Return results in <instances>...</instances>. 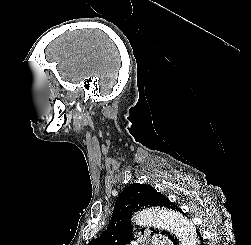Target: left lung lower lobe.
Listing matches in <instances>:
<instances>
[{"mask_svg":"<svg viewBox=\"0 0 251 245\" xmlns=\"http://www.w3.org/2000/svg\"><path fill=\"white\" fill-rule=\"evenodd\" d=\"M178 211L182 213V210H181V209H179ZM166 236L170 239V241H171L174 245H178V240H177V238H176L174 235H172L170 232H168V233L166 234ZM197 243H198L199 245H204V243H203V237L201 236V234L199 233L198 230H197Z\"/></svg>","mask_w":251,"mask_h":245,"instance_id":"0a47b994","label":"left lung lower lobe"}]
</instances>
